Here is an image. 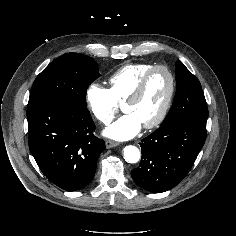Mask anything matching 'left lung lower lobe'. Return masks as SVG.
<instances>
[{"label":"left lung lower lobe","mask_w":236,"mask_h":236,"mask_svg":"<svg viewBox=\"0 0 236 236\" xmlns=\"http://www.w3.org/2000/svg\"><path fill=\"white\" fill-rule=\"evenodd\" d=\"M206 121L173 120L142 139L140 164L131 171L136 184L152 193L164 192L179 184L204 145Z\"/></svg>","instance_id":"left-lung-lower-lobe-1"}]
</instances>
